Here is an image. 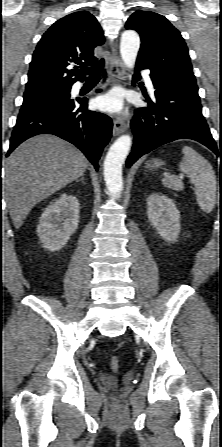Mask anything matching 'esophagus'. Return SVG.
<instances>
[{
  "instance_id": "obj_1",
  "label": "esophagus",
  "mask_w": 222,
  "mask_h": 447,
  "mask_svg": "<svg viewBox=\"0 0 222 447\" xmlns=\"http://www.w3.org/2000/svg\"><path fill=\"white\" fill-rule=\"evenodd\" d=\"M111 62H110V74L114 79V82H118L123 78L124 66L120 59L114 42L111 44ZM126 123L123 118L117 116L113 120V135L118 136L126 130Z\"/></svg>"
}]
</instances>
